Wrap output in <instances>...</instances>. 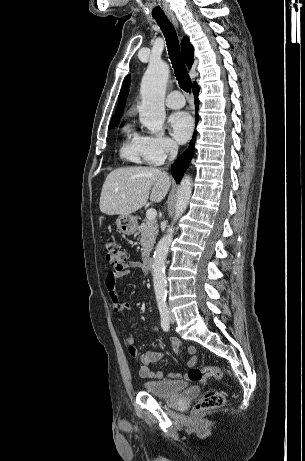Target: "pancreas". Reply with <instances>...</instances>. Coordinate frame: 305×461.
<instances>
[{"instance_id": "pancreas-1", "label": "pancreas", "mask_w": 305, "mask_h": 461, "mask_svg": "<svg viewBox=\"0 0 305 461\" xmlns=\"http://www.w3.org/2000/svg\"><path fill=\"white\" fill-rule=\"evenodd\" d=\"M138 233L141 235L140 244L142 246V258L149 256L155 244L156 236L158 234V224L156 220L146 219L138 227Z\"/></svg>"}]
</instances>
